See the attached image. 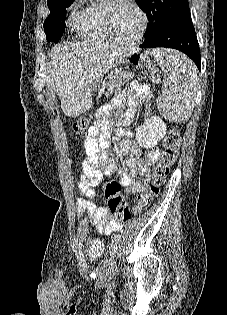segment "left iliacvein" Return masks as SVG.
I'll return each instance as SVG.
<instances>
[{"label": "left iliac vein", "instance_id": "obj_1", "mask_svg": "<svg viewBox=\"0 0 227 315\" xmlns=\"http://www.w3.org/2000/svg\"><path fill=\"white\" fill-rule=\"evenodd\" d=\"M117 247H118V242H113L111 245V251L115 252L117 250Z\"/></svg>", "mask_w": 227, "mask_h": 315}]
</instances>
